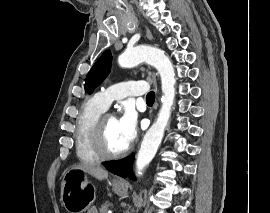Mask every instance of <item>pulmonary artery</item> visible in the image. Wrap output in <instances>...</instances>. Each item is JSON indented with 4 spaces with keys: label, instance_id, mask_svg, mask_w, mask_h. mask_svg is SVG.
<instances>
[{
    "label": "pulmonary artery",
    "instance_id": "e3ab8cb5",
    "mask_svg": "<svg viewBox=\"0 0 270 213\" xmlns=\"http://www.w3.org/2000/svg\"><path fill=\"white\" fill-rule=\"evenodd\" d=\"M147 92V85L144 81H123L116 83L95 94L96 102L104 109H107L114 100H121L129 96H141Z\"/></svg>",
    "mask_w": 270,
    "mask_h": 213
}]
</instances>
